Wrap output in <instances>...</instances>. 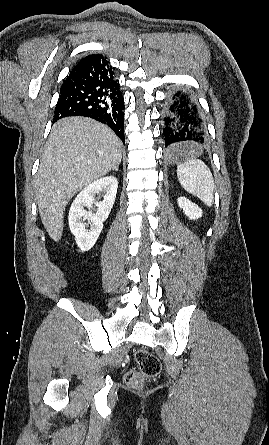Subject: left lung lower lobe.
Instances as JSON below:
<instances>
[{
  "mask_svg": "<svg viewBox=\"0 0 269 445\" xmlns=\"http://www.w3.org/2000/svg\"><path fill=\"white\" fill-rule=\"evenodd\" d=\"M163 135L169 154L182 151L186 144L198 146L206 140V124L191 93L176 90L168 97L164 108Z\"/></svg>",
  "mask_w": 269,
  "mask_h": 445,
  "instance_id": "left-lung-lower-lobe-1",
  "label": "left lung lower lobe"
}]
</instances>
